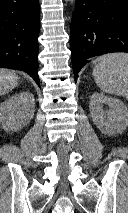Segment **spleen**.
I'll return each instance as SVG.
<instances>
[{
  "label": "spleen",
  "mask_w": 128,
  "mask_h": 213,
  "mask_svg": "<svg viewBox=\"0 0 128 213\" xmlns=\"http://www.w3.org/2000/svg\"><path fill=\"white\" fill-rule=\"evenodd\" d=\"M93 76L101 91L128 100V54L111 53L98 57Z\"/></svg>",
  "instance_id": "1"
}]
</instances>
